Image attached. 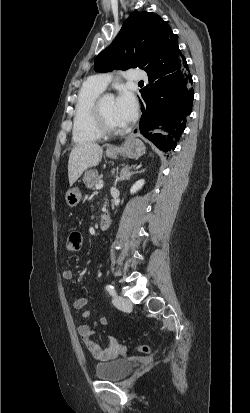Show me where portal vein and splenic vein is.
Instances as JSON below:
<instances>
[{"mask_svg":"<svg viewBox=\"0 0 250 413\" xmlns=\"http://www.w3.org/2000/svg\"><path fill=\"white\" fill-rule=\"evenodd\" d=\"M95 188H96L97 190H100L101 188H103V183H102V182H99V183L95 186Z\"/></svg>","mask_w":250,"mask_h":413,"instance_id":"obj_1","label":"portal vein and splenic vein"}]
</instances>
